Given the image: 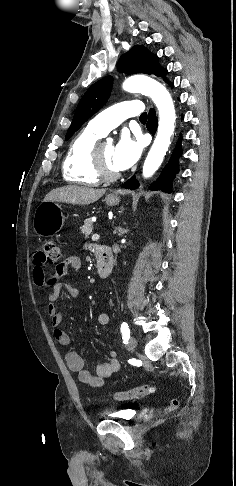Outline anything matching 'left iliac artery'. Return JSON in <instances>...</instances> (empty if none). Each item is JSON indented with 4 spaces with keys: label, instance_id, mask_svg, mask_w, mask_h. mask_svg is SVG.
I'll return each instance as SVG.
<instances>
[{
    "label": "left iliac artery",
    "instance_id": "1",
    "mask_svg": "<svg viewBox=\"0 0 236 486\" xmlns=\"http://www.w3.org/2000/svg\"><path fill=\"white\" fill-rule=\"evenodd\" d=\"M121 333L123 337V342H128V340L130 339V329L126 322H122L121 324Z\"/></svg>",
    "mask_w": 236,
    "mask_h": 486
}]
</instances>
